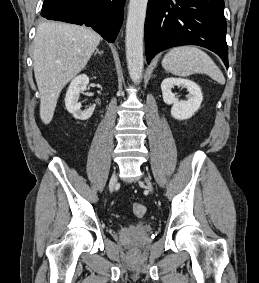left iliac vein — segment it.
I'll use <instances>...</instances> for the list:
<instances>
[{"instance_id":"obj_1","label":"left iliac vein","mask_w":259,"mask_h":283,"mask_svg":"<svg viewBox=\"0 0 259 283\" xmlns=\"http://www.w3.org/2000/svg\"><path fill=\"white\" fill-rule=\"evenodd\" d=\"M145 182H146V185H147L148 190H149L150 192H153L152 183H151L150 179H149L147 176H145Z\"/></svg>"}]
</instances>
